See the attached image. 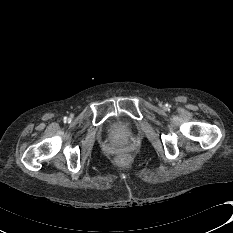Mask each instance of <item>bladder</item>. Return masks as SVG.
I'll list each match as a JSON object with an SVG mask.
<instances>
[{
	"label": "bladder",
	"mask_w": 233,
	"mask_h": 233,
	"mask_svg": "<svg viewBox=\"0 0 233 233\" xmlns=\"http://www.w3.org/2000/svg\"><path fill=\"white\" fill-rule=\"evenodd\" d=\"M109 131H110L111 135L117 139H122L129 134L128 126L121 121L113 122L110 126Z\"/></svg>",
	"instance_id": "obj_1"
}]
</instances>
